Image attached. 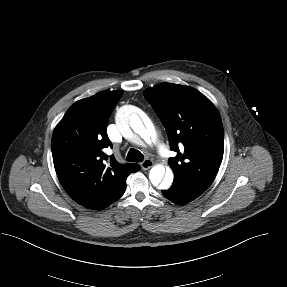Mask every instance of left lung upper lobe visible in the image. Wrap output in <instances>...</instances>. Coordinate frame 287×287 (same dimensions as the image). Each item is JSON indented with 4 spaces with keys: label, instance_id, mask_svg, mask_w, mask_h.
Wrapping results in <instances>:
<instances>
[{
    "label": "left lung upper lobe",
    "instance_id": "left-lung-upper-lobe-1",
    "mask_svg": "<svg viewBox=\"0 0 287 287\" xmlns=\"http://www.w3.org/2000/svg\"><path fill=\"white\" fill-rule=\"evenodd\" d=\"M144 97L177 152L168 161L174 181L202 194L214 181L223 158L224 131L217 109L198 90L172 83L146 89Z\"/></svg>",
    "mask_w": 287,
    "mask_h": 287
}]
</instances>
